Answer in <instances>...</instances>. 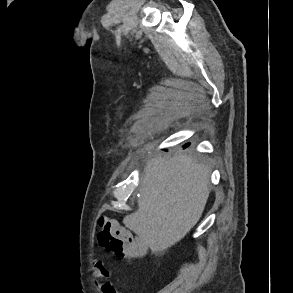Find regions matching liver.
Segmentation results:
<instances>
[{
  "label": "liver",
  "mask_w": 293,
  "mask_h": 293,
  "mask_svg": "<svg viewBox=\"0 0 293 293\" xmlns=\"http://www.w3.org/2000/svg\"><path fill=\"white\" fill-rule=\"evenodd\" d=\"M210 168L191 155L153 157L146 168L138 209L123 223L154 252L179 242L195 226L205 208Z\"/></svg>",
  "instance_id": "6515ba94"
}]
</instances>
